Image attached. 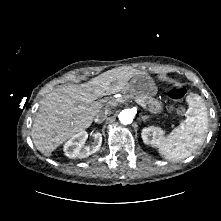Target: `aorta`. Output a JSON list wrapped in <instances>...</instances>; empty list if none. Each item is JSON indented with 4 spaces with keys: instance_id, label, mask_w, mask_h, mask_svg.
<instances>
[{
    "instance_id": "762f6f07",
    "label": "aorta",
    "mask_w": 221,
    "mask_h": 221,
    "mask_svg": "<svg viewBox=\"0 0 221 221\" xmlns=\"http://www.w3.org/2000/svg\"><path fill=\"white\" fill-rule=\"evenodd\" d=\"M135 114L131 109H124L119 114V120L122 124L127 125L132 123Z\"/></svg>"
}]
</instances>
